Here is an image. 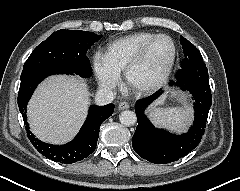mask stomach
I'll list each match as a JSON object with an SVG mask.
<instances>
[{"instance_id": "obj_1", "label": "stomach", "mask_w": 240, "mask_h": 191, "mask_svg": "<svg viewBox=\"0 0 240 191\" xmlns=\"http://www.w3.org/2000/svg\"><path fill=\"white\" fill-rule=\"evenodd\" d=\"M178 113H180L181 116L184 117V120L187 121L188 119V111L187 110H176Z\"/></svg>"}]
</instances>
